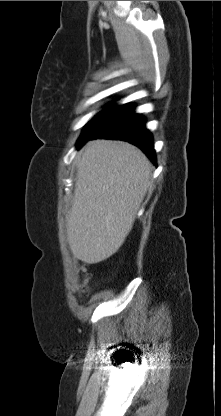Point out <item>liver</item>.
I'll list each match as a JSON object with an SVG mask.
<instances>
[{
	"label": "liver",
	"instance_id": "1",
	"mask_svg": "<svg viewBox=\"0 0 221 416\" xmlns=\"http://www.w3.org/2000/svg\"><path fill=\"white\" fill-rule=\"evenodd\" d=\"M151 163L136 146L97 139L82 150L66 232L73 255L99 263L124 243L151 185Z\"/></svg>",
	"mask_w": 221,
	"mask_h": 416
}]
</instances>
